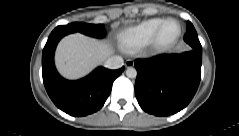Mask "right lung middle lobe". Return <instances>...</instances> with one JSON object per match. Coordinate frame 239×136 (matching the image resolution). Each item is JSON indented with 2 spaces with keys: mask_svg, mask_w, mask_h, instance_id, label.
<instances>
[{
  "mask_svg": "<svg viewBox=\"0 0 239 136\" xmlns=\"http://www.w3.org/2000/svg\"><path fill=\"white\" fill-rule=\"evenodd\" d=\"M59 32H63L64 35L73 33V32H80L88 36H92L95 38H103L106 34V30L104 25L98 24H88V23H70L66 26H58L57 27Z\"/></svg>",
  "mask_w": 239,
  "mask_h": 136,
  "instance_id": "right-lung-middle-lobe-1",
  "label": "right lung middle lobe"
}]
</instances>
